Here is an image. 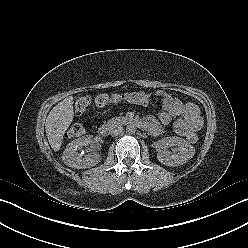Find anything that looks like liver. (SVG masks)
Here are the masks:
<instances>
[{
    "label": "liver",
    "mask_w": 248,
    "mask_h": 248,
    "mask_svg": "<svg viewBox=\"0 0 248 248\" xmlns=\"http://www.w3.org/2000/svg\"><path fill=\"white\" fill-rule=\"evenodd\" d=\"M74 117L73 97L69 96L58 103L49 112L46 122V135L51 148L58 151L61 148L64 133Z\"/></svg>",
    "instance_id": "liver-1"
}]
</instances>
